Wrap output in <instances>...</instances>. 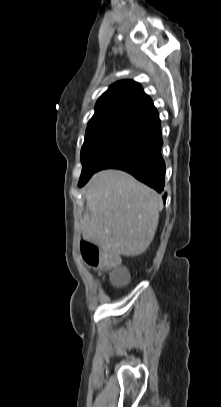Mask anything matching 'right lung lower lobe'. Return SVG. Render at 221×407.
<instances>
[{
  "label": "right lung lower lobe",
  "instance_id": "obj_1",
  "mask_svg": "<svg viewBox=\"0 0 221 407\" xmlns=\"http://www.w3.org/2000/svg\"><path fill=\"white\" fill-rule=\"evenodd\" d=\"M162 145L161 125L156 115L120 144L99 170H124L160 193L164 188L166 170L161 155ZM163 198L166 200V194Z\"/></svg>",
  "mask_w": 221,
  "mask_h": 407
}]
</instances>
